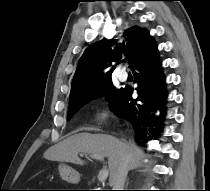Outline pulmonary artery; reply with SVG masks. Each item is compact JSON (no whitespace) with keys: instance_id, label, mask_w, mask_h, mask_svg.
I'll return each mask as SVG.
<instances>
[{"instance_id":"e3ab8cb5","label":"pulmonary artery","mask_w":210,"mask_h":191,"mask_svg":"<svg viewBox=\"0 0 210 191\" xmlns=\"http://www.w3.org/2000/svg\"><path fill=\"white\" fill-rule=\"evenodd\" d=\"M118 78L121 80V81H126L127 78H128V75L126 72H120L119 75H118Z\"/></svg>"}]
</instances>
